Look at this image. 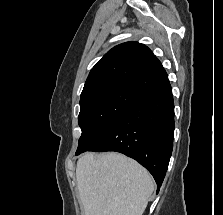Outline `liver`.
Returning <instances> with one entry per match:
<instances>
[{
    "label": "liver",
    "instance_id": "liver-1",
    "mask_svg": "<svg viewBox=\"0 0 223 215\" xmlns=\"http://www.w3.org/2000/svg\"><path fill=\"white\" fill-rule=\"evenodd\" d=\"M76 179L85 215H142L154 191L149 171L117 151L84 153Z\"/></svg>",
    "mask_w": 223,
    "mask_h": 215
}]
</instances>
